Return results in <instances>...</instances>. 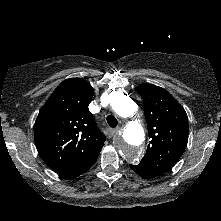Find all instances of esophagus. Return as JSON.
<instances>
[{
  "label": "esophagus",
  "mask_w": 221,
  "mask_h": 221,
  "mask_svg": "<svg viewBox=\"0 0 221 221\" xmlns=\"http://www.w3.org/2000/svg\"><path fill=\"white\" fill-rule=\"evenodd\" d=\"M120 131H121V128H117V129L110 128V129H108V135L110 137H112V136H114L115 134H117Z\"/></svg>",
  "instance_id": "esophagus-1"
}]
</instances>
